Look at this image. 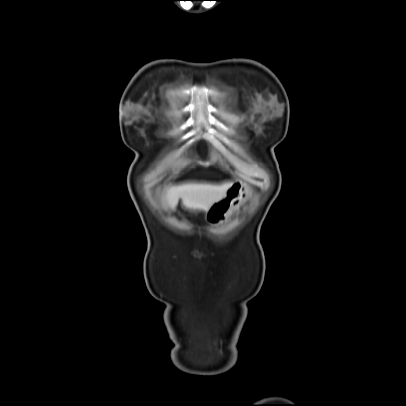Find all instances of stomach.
<instances>
[{
  "label": "stomach",
  "mask_w": 406,
  "mask_h": 406,
  "mask_svg": "<svg viewBox=\"0 0 406 406\" xmlns=\"http://www.w3.org/2000/svg\"><path fill=\"white\" fill-rule=\"evenodd\" d=\"M248 186L241 180L232 182L223 199L215 202L207 211L205 220L210 225L224 223L247 199Z\"/></svg>",
  "instance_id": "obj_1"
}]
</instances>
